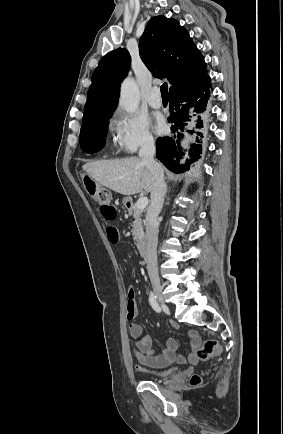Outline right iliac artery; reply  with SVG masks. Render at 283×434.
<instances>
[{"instance_id": "obj_1", "label": "right iliac artery", "mask_w": 283, "mask_h": 434, "mask_svg": "<svg viewBox=\"0 0 283 434\" xmlns=\"http://www.w3.org/2000/svg\"><path fill=\"white\" fill-rule=\"evenodd\" d=\"M149 301H150V305L151 307L156 311V312H161V306L158 303L156 296L154 295L153 292L150 293L149 296Z\"/></svg>"}]
</instances>
